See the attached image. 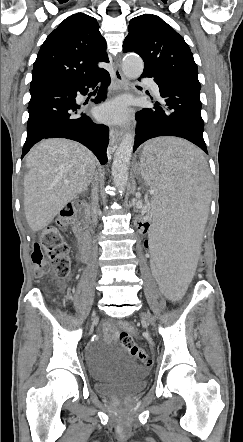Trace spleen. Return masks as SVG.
Wrapping results in <instances>:
<instances>
[{
	"label": "spleen",
	"instance_id": "3e777b00",
	"mask_svg": "<svg viewBox=\"0 0 243 442\" xmlns=\"http://www.w3.org/2000/svg\"><path fill=\"white\" fill-rule=\"evenodd\" d=\"M136 178L149 184L153 233L150 246L151 271L162 296H185L200 239L204 231L208 202V171L204 154L177 138L155 139L139 155Z\"/></svg>",
	"mask_w": 243,
	"mask_h": 442
}]
</instances>
